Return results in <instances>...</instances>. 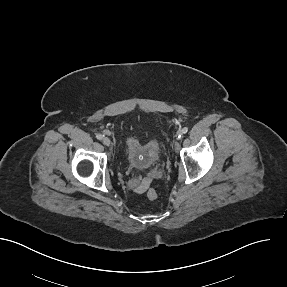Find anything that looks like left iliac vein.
<instances>
[{
	"label": "left iliac vein",
	"instance_id": "4c4485c4",
	"mask_svg": "<svg viewBox=\"0 0 287 287\" xmlns=\"http://www.w3.org/2000/svg\"><path fill=\"white\" fill-rule=\"evenodd\" d=\"M179 146H180L179 142L176 141V142H175V147L178 148Z\"/></svg>",
	"mask_w": 287,
	"mask_h": 287
}]
</instances>
